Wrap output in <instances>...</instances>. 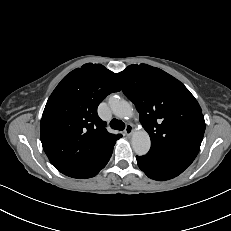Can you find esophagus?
Returning <instances> with one entry per match:
<instances>
[{
    "instance_id": "1",
    "label": "esophagus",
    "mask_w": 231,
    "mask_h": 231,
    "mask_svg": "<svg viewBox=\"0 0 231 231\" xmlns=\"http://www.w3.org/2000/svg\"><path fill=\"white\" fill-rule=\"evenodd\" d=\"M133 131H134V129H133V126L131 124L126 125V128L124 130V133L126 136L132 135Z\"/></svg>"
}]
</instances>
